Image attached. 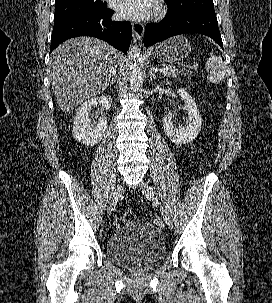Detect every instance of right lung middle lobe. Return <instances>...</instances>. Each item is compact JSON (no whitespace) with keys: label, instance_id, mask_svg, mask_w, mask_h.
Returning a JSON list of instances; mask_svg holds the SVG:
<instances>
[{"label":"right lung middle lobe","instance_id":"1","mask_svg":"<svg viewBox=\"0 0 272 303\" xmlns=\"http://www.w3.org/2000/svg\"><path fill=\"white\" fill-rule=\"evenodd\" d=\"M107 9L101 0H64L55 2L54 20L81 12H104Z\"/></svg>","mask_w":272,"mask_h":303}]
</instances>
